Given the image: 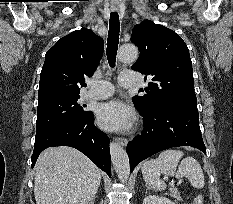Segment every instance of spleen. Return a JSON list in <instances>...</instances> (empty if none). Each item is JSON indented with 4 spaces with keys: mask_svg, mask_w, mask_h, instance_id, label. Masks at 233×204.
Segmentation results:
<instances>
[{
    "mask_svg": "<svg viewBox=\"0 0 233 204\" xmlns=\"http://www.w3.org/2000/svg\"><path fill=\"white\" fill-rule=\"evenodd\" d=\"M183 156L182 151L169 149L160 153L156 159L144 162L142 175L146 185L155 191L166 189L165 182L160 179L161 173H164L178 179L186 177L194 188H203L205 179L200 164L193 157H186L180 162Z\"/></svg>",
    "mask_w": 233,
    "mask_h": 204,
    "instance_id": "3e777b00",
    "label": "spleen"
}]
</instances>
